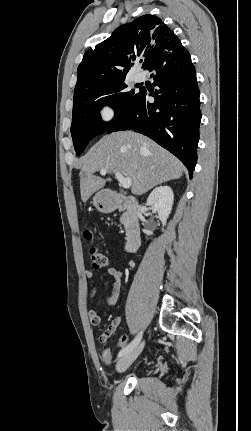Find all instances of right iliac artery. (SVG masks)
<instances>
[{
  "mask_svg": "<svg viewBox=\"0 0 251 431\" xmlns=\"http://www.w3.org/2000/svg\"><path fill=\"white\" fill-rule=\"evenodd\" d=\"M141 337H142V332H140L129 345H127L125 348H123L119 352L118 357L124 356L125 354H127L128 352H130L134 347H136L137 344L140 342Z\"/></svg>",
  "mask_w": 251,
  "mask_h": 431,
  "instance_id": "right-iliac-artery-1",
  "label": "right iliac artery"
}]
</instances>
